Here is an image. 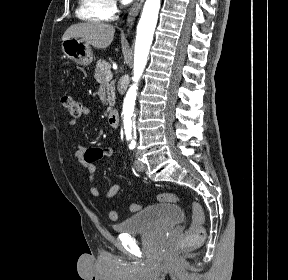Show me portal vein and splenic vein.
Returning a JSON list of instances; mask_svg holds the SVG:
<instances>
[{
    "mask_svg": "<svg viewBox=\"0 0 288 280\" xmlns=\"http://www.w3.org/2000/svg\"><path fill=\"white\" fill-rule=\"evenodd\" d=\"M106 80H109L112 78V72L111 71H107L106 75H105Z\"/></svg>",
    "mask_w": 288,
    "mask_h": 280,
    "instance_id": "18ae733b",
    "label": "portal vein and splenic vein"
}]
</instances>
